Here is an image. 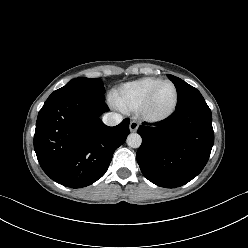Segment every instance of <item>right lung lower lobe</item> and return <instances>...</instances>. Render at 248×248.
<instances>
[{
  "label": "right lung lower lobe",
  "mask_w": 248,
  "mask_h": 248,
  "mask_svg": "<svg viewBox=\"0 0 248 248\" xmlns=\"http://www.w3.org/2000/svg\"><path fill=\"white\" fill-rule=\"evenodd\" d=\"M104 99L83 93L49 97L39 111L34 149L43 171L57 183L81 188L100 179L129 135V119L114 127L100 119Z\"/></svg>",
  "instance_id": "98d812e1"
}]
</instances>
